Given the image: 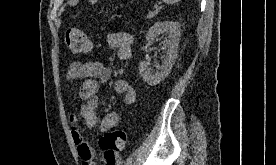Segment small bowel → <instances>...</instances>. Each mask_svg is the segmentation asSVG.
<instances>
[{
	"instance_id": "c3829d8e",
	"label": "small bowel",
	"mask_w": 276,
	"mask_h": 165,
	"mask_svg": "<svg viewBox=\"0 0 276 165\" xmlns=\"http://www.w3.org/2000/svg\"><path fill=\"white\" fill-rule=\"evenodd\" d=\"M107 43L117 50V57L121 61H126L131 57V46L133 37L126 32L111 33L107 36ZM111 77V70L99 61L72 62L66 73L65 80L69 87L81 81L79 89L80 115L88 128H95L97 125L103 132H107L119 123V114L116 111L106 113L102 119L98 120V83L106 82ZM114 91L123 95L126 104L131 105L136 101V92L124 79H118L113 84ZM72 139L77 147L78 155L82 165H97L94 158L93 148L85 141L78 127V117L69 116ZM103 165H119V156L115 154L108 157L103 156Z\"/></svg>"
}]
</instances>
